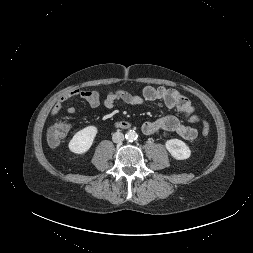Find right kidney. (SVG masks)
I'll list each match as a JSON object with an SVG mask.
<instances>
[{"mask_svg": "<svg viewBox=\"0 0 253 253\" xmlns=\"http://www.w3.org/2000/svg\"><path fill=\"white\" fill-rule=\"evenodd\" d=\"M98 130L95 126H87L78 131L69 142V149L76 154L86 153L93 144Z\"/></svg>", "mask_w": 253, "mask_h": 253, "instance_id": "1", "label": "right kidney"}]
</instances>
